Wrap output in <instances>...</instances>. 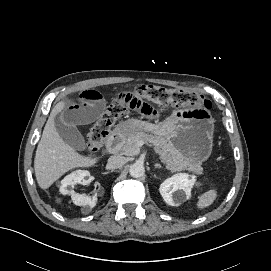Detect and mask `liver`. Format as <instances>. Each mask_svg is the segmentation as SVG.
<instances>
[{"label": "liver", "instance_id": "obj_1", "mask_svg": "<svg viewBox=\"0 0 271 271\" xmlns=\"http://www.w3.org/2000/svg\"><path fill=\"white\" fill-rule=\"evenodd\" d=\"M64 103L61 101L52 109L37 146L34 169L37 183L42 189L49 188L69 170L76 167H91L98 161V158H90L72 151L61 141L55 117Z\"/></svg>", "mask_w": 271, "mask_h": 271}]
</instances>
